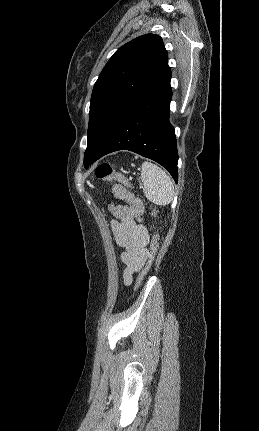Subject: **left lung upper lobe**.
I'll list each match as a JSON object with an SVG mask.
<instances>
[{
  "label": "left lung upper lobe",
  "mask_w": 259,
  "mask_h": 431,
  "mask_svg": "<svg viewBox=\"0 0 259 431\" xmlns=\"http://www.w3.org/2000/svg\"><path fill=\"white\" fill-rule=\"evenodd\" d=\"M169 72L168 53L158 35L139 36L113 54L92 91L85 168L120 119Z\"/></svg>",
  "instance_id": "left-lung-upper-lobe-1"
}]
</instances>
